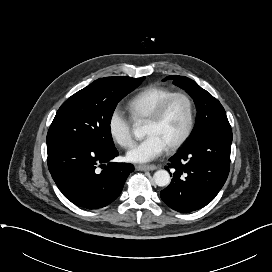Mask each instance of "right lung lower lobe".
<instances>
[{"label":"right lung lower lobe","instance_id":"98d812e1","mask_svg":"<svg viewBox=\"0 0 272 272\" xmlns=\"http://www.w3.org/2000/svg\"><path fill=\"white\" fill-rule=\"evenodd\" d=\"M117 155L116 148L71 144L49 151L47 163L57 187L69 201L79 207L98 209L120 195L134 171L132 164L110 162Z\"/></svg>","mask_w":272,"mask_h":272}]
</instances>
